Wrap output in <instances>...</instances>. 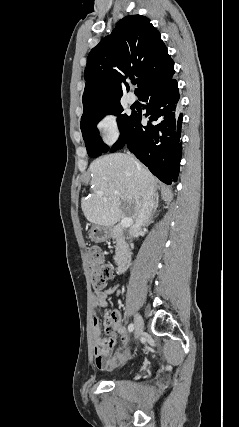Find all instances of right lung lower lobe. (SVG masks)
I'll use <instances>...</instances> for the list:
<instances>
[{
  "mask_svg": "<svg viewBox=\"0 0 239 427\" xmlns=\"http://www.w3.org/2000/svg\"><path fill=\"white\" fill-rule=\"evenodd\" d=\"M173 74L145 87L138 94V98L146 103L145 117L149 121L143 126L141 115L132 114L124 142L156 177L168 185L177 180L182 155L183 116L178 84Z\"/></svg>",
  "mask_w": 239,
  "mask_h": 427,
  "instance_id": "98d812e1",
  "label": "right lung lower lobe"
}]
</instances>
